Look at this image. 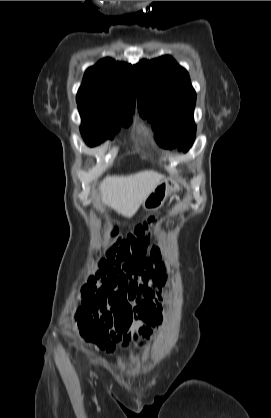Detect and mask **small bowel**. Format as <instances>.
Instances as JSON below:
<instances>
[{"label": "small bowel", "mask_w": 271, "mask_h": 418, "mask_svg": "<svg viewBox=\"0 0 271 418\" xmlns=\"http://www.w3.org/2000/svg\"><path fill=\"white\" fill-rule=\"evenodd\" d=\"M166 246V239L159 238L149 255L138 260H102L95 277L83 288L82 310L95 314L98 322L111 330L108 342L102 346L107 352H112L117 343L125 346L130 340H138L139 335L151 337L161 324L160 302L167 281L166 266L161 261L167 255Z\"/></svg>", "instance_id": "1"}]
</instances>
